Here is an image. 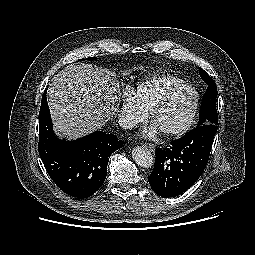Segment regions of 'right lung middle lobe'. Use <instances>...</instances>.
Segmentation results:
<instances>
[{
    "mask_svg": "<svg viewBox=\"0 0 255 255\" xmlns=\"http://www.w3.org/2000/svg\"><path fill=\"white\" fill-rule=\"evenodd\" d=\"M95 59H96L95 57L87 58V60H90V61L95 60Z\"/></svg>",
    "mask_w": 255,
    "mask_h": 255,
    "instance_id": "dd1d6c3e",
    "label": "right lung middle lobe"
}]
</instances>
